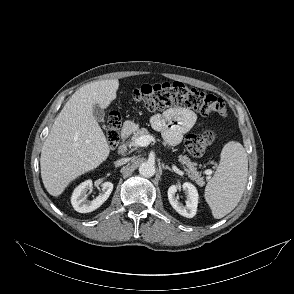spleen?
I'll list each match as a JSON object with an SVG mask.
<instances>
[{
  "label": "spleen",
  "mask_w": 294,
  "mask_h": 294,
  "mask_svg": "<svg viewBox=\"0 0 294 294\" xmlns=\"http://www.w3.org/2000/svg\"><path fill=\"white\" fill-rule=\"evenodd\" d=\"M248 174L244 147L230 141L222 149L219 166L205 187V199L215 218L230 213L242 198Z\"/></svg>",
  "instance_id": "3e777b00"
}]
</instances>
